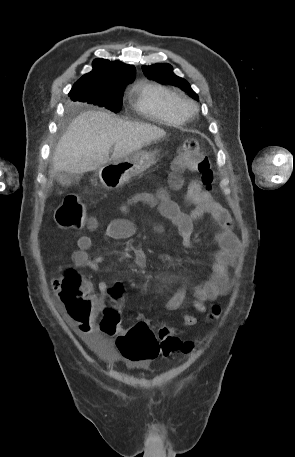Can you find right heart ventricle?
Returning a JSON list of instances; mask_svg holds the SVG:
<instances>
[{"mask_svg": "<svg viewBox=\"0 0 295 457\" xmlns=\"http://www.w3.org/2000/svg\"><path fill=\"white\" fill-rule=\"evenodd\" d=\"M129 97L131 106L149 120L171 125L184 122L175 109L178 95L159 83H138L131 89Z\"/></svg>", "mask_w": 295, "mask_h": 457, "instance_id": "obj_1", "label": "right heart ventricle"}]
</instances>
